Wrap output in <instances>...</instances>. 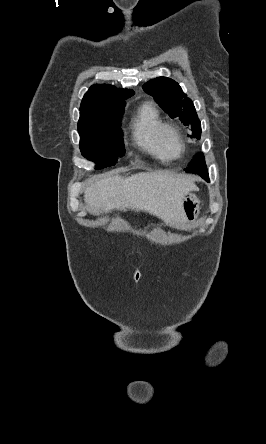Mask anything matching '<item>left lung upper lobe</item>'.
Here are the masks:
<instances>
[{
    "label": "left lung upper lobe",
    "instance_id": "obj_1",
    "mask_svg": "<svg viewBox=\"0 0 266 444\" xmlns=\"http://www.w3.org/2000/svg\"><path fill=\"white\" fill-rule=\"evenodd\" d=\"M143 89L154 96L160 107L174 119L178 118L193 128L192 137L200 139L201 123L191 99L187 98L177 82L158 77L145 83Z\"/></svg>",
    "mask_w": 266,
    "mask_h": 444
}]
</instances>
